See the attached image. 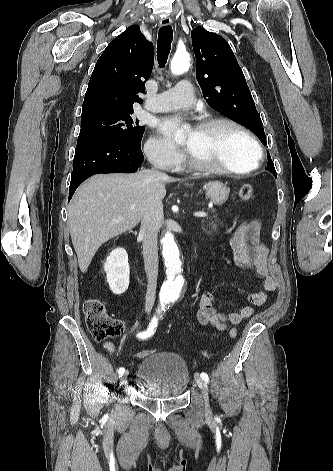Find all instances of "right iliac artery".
Returning <instances> with one entry per match:
<instances>
[{
    "label": "right iliac artery",
    "mask_w": 333,
    "mask_h": 471,
    "mask_svg": "<svg viewBox=\"0 0 333 471\" xmlns=\"http://www.w3.org/2000/svg\"><path fill=\"white\" fill-rule=\"evenodd\" d=\"M157 325H158V316H154L147 330L138 333L137 337L143 340L151 337L155 333ZM124 372H125V369L123 367L119 368L118 370L119 375H122Z\"/></svg>",
    "instance_id": "82829eb1"
}]
</instances>
